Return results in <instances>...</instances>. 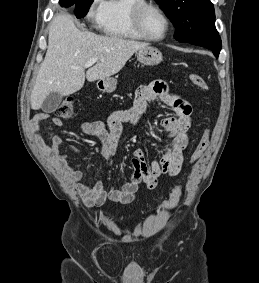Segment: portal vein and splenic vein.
Here are the masks:
<instances>
[{"instance_id":"obj_1","label":"portal vein and splenic vein","mask_w":259,"mask_h":283,"mask_svg":"<svg viewBox=\"0 0 259 283\" xmlns=\"http://www.w3.org/2000/svg\"><path fill=\"white\" fill-rule=\"evenodd\" d=\"M97 61H98V58L90 59L89 61H87V62L85 63V67H86V68H87V67H90V66L94 65Z\"/></svg>"}]
</instances>
